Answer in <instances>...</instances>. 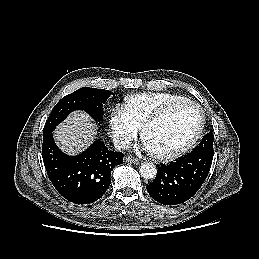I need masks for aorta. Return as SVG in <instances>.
<instances>
[{
  "mask_svg": "<svg viewBox=\"0 0 259 259\" xmlns=\"http://www.w3.org/2000/svg\"><path fill=\"white\" fill-rule=\"evenodd\" d=\"M140 175L145 179H153L157 174L156 166L151 162H144L139 168Z\"/></svg>",
  "mask_w": 259,
  "mask_h": 259,
  "instance_id": "obj_1",
  "label": "aorta"
}]
</instances>
